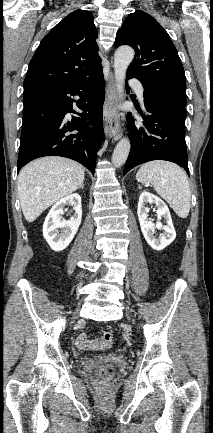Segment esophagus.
<instances>
[{
	"instance_id": "1",
	"label": "esophagus",
	"mask_w": 213,
	"mask_h": 433,
	"mask_svg": "<svg viewBox=\"0 0 213 433\" xmlns=\"http://www.w3.org/2000/svg\"><path fill=\"white\" fill-rule=\"evenodd\" d=\"M117 103V93L115 88V80L112 72L109 74L106 100L103 107L104 130L107 136L118 140L121 137L119 115L114 108Z\"/></svg>"
}]
</instances>
